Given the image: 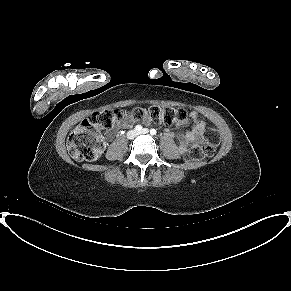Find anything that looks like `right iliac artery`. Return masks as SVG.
Returning <instances> with one entry per match:
<instances>
[{
    "label": "right iliac artery",
    "mask_w": 291,
    "mask_h": 291,
    "mask_svg": "<svg viewBox=\"0 0 291 291\" xmlns=\"http://www.w3.org/2000/svg\"><path fill=\"white\" fill-rule=\"evenodd\" d=\"M135 130H137V131L142 130V126H141V125H136V126H135Z\"/></svg>",
    "instance_id": "obj_1"
}]
</instances>
